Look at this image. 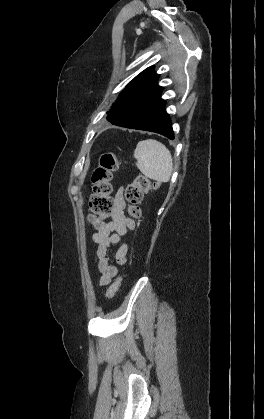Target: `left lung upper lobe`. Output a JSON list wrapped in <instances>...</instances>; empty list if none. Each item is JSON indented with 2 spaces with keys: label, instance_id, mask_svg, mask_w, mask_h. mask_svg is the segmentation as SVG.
Returning <instances> with one entry per match:
<instances>
[{
  "label": "left lung upper lobe",
  "instance_id": "obj_1",
  "mask_svg": "<svg viewBox=\"0 0 264 419\" xmlns=\"http://www.w3.org/2000/svg\"><path fill=\"white\" fill-rule=\"evenodd\" d=\"M159 75L149 67L138 74L119 94L116 102L108 112V117H114L124 112L128 105L138 98L148 87L157 84Z\"/></svg>",
  "mask_w": 264,
  "mask_h": 419
}]
</instances>
